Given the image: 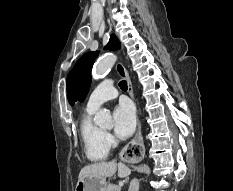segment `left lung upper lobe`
Listing matches in <instances>:
<instances>
[{
    "label": "left lung upper lobe",
    "instance_id": "left-lung-upper-lobe-1",
    "mask_svg": "<svg viewBox=\"0 0 233 191\" xmlns=\"http://www.w3.org/2000/svg\"><path fill=\"white\" fill-rule=\"evenodd\" d=\"M120 42L112 35L105 49L118 50ZM97 52L84 54L75 64L67 77V96L71 105L76 101L83 102L87 96L91 82V69Z\"/></svg>",
    "mask_w": 233,
    "mask_h": 191
}]
</instances>
